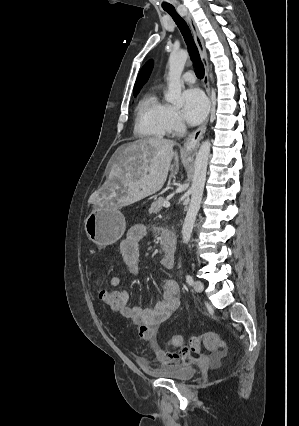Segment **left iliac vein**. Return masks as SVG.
Wrapping results in <instances>:
<instances>
[{"label":"left iliac vein","mask_w":299,"mask_h":426,"mask_svg":"<svg viewBox=\"0 0 299 426\" xmlns=\"http://www.w3.org/2000/svg\"><path fill=\"white\" fill-rule=\"evenodd\" d=\"M194 289L196 292L201 293L204 290V285L201 281L194 282Z\"/></svg>","instance_id":"left-iliac-vein-1"}]
</instances>
